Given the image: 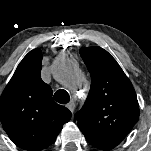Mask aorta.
I'll return each mask as SVG.
<instances>
[{"label": "aorta", "mask_w": 151, "mask_h": 151, "mask_svg": "<svg viewBox=\"0 0 151 151\" xmlns=\"http://www.w3.org/2000/svg\"><path fill=\"white\" fill-rule=\"evenodd\" d=\"M54 74H65V75H74L75 68L74 65L68 61H61L57 63L53 70Z\"/></svg>", "instance_id": "762f6f07"}]
</instances>
